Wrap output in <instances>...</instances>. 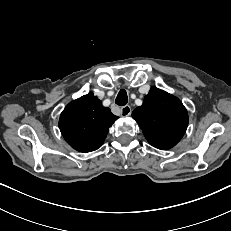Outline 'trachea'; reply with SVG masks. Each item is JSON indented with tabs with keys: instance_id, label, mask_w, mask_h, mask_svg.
I'll list each match as a JSON object with an SVG mask.
<instances>
[{
	"instance_id": "obj_1",
	"label": "trachea",
	"mask_w": 231,
	"mask_h": 231,
	"mask_svg": "<svg viewBox=\"0 0 231 231\" xmlns=\"http://www.w3.org/2000/svg\"><path fill=\"white\" fill-rule=\"evenodd\" d=\"M128 102L127 93L124 89H121L116 97L115 103L119 106H124Z\"/></svg>"
}]
</instances>
